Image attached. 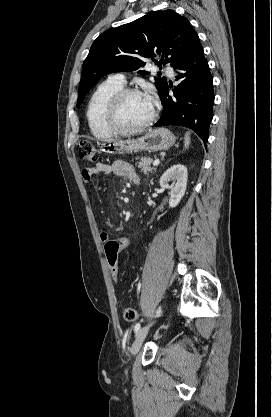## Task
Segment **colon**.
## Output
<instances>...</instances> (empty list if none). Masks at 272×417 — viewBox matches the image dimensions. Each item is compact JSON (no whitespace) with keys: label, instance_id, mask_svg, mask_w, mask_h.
I'll list each match as a JSON object with an SVG mask.
<instances>
[{"label":"colon","instance_id":"colon-1","mask_svg":"<svg viewBox=\"0 0 272 417\" xmlns=\"http://www.w3.org/2000/svg\"><path fill=\"white\" fill-rule=\"evenodd\" d=\"M80 158L86 161H95L98 158V150L90 141H82L79 147ZM130 241L126 237L111 238L105 242L104 253L108 263L112 280L117 283L119 277L118 255L126 250ZM123 316L127 321H134L138 318V311L134 308L124 306Z\"/></svg>","mask_w":272,"mask_h":417}]
</instances>
